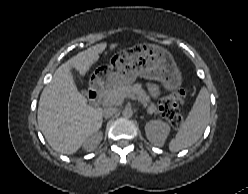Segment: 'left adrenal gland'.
<instances>
[{
  "label": "left adrenal gland",
  "instance_id": "left-adrenal-gland-1",
  "mask_svg": "<svg viewBox=\"0 0 248 194\" xmlns=\"http://www.w3.org/2000/svg\"><path fill=\"white\" fill-rule=\"evenodd\" d=\"M140 118H141V119H144V116H141Z\"/></svg>",
  "mask_w": 248,
  "mask_h": 194
}]
</instances>
